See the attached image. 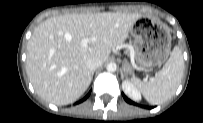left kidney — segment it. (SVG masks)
Wrapping results in <instances>:
<instances>
[{
	"label": "left kidney",
	"instance_id": "obj_1",
	"mask_svg": "<svg viewBox=\"0 0 203 123\" xmlns=\"http://www.w3.org/2000/svg\"><path fill=\"white\" fill-rule=\"evenodd\" d=\"M122 89L124 93L132 100L134 101H140L141 100V93L137 89V87L128 79L124 80L122 82Z\"/></svg>",
	"mask_w": 203,
	"mask_h": 123
}]
</instances>
